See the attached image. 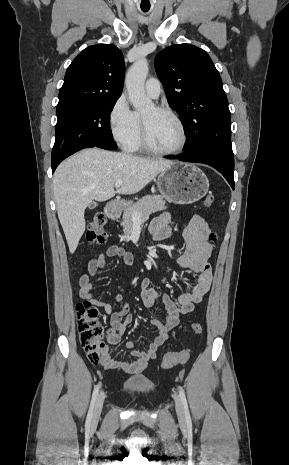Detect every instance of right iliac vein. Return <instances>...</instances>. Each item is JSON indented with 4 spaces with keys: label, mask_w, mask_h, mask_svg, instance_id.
Returning a JSON list of instances; mask_svg holds the SVG:
<instances>
[{
    "label": "right iliac vein",
    "mask_w": 289,
    "mask_h": 465,
    "mask_svg": "<svg viewBox=\"0 0 289 465\" xmlns=\"http://www.w3.org/2000/svg\"><path fill=\"white\" fill-rule=\"evenodd\" d=\"M104 399H105V393L101 392L98 395V398L96 400V404H95V407H94L93 417H92L93 422H96L100 417V414H101V411H102V408H103Z\"/></svg>",
    "instance_id": "obj_1"
}]
</instances>
